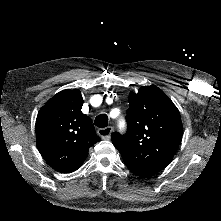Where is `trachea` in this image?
I'll return each mask as SVG.
<instances>
[{
    "mask_svg": "<svg viewBox=\"0 0 221 221\" xmlns=\"http://www.w3.org/2000/svg\"><path fill=\"white\" fill-rule=\"evenodd\" d=\"M108 120L106 114H100L95 118L94 124L99 128H105L108 125Z\"/></svg>",
    "mask_w": 221,
    "mask_h": 221,
    "instance_id": "3493384b",
    "label": "trachea"
}]
</instances>
